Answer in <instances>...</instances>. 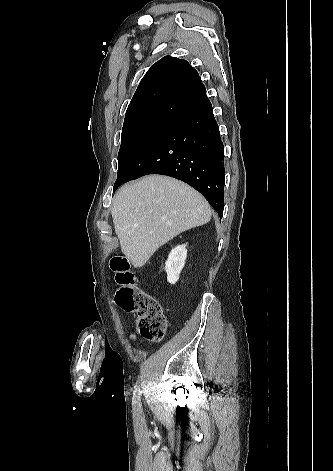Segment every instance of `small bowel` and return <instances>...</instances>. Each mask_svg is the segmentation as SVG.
<instances>
[{
	"label": "small bowel",
	"mask_w": 333,
	"mask_h": 471,
	"mask_svg": "<svg viewBox=\"0 0 333 471\" xmlns=\"http://www.w3.org/2000/svg\"><path fill=\"white\" fill-rule=\"evenodd\" d=\"M130 338L132 341L137 342V337L135 336V334L131 333Z\"/></svg>",
	"instance_id": "small-bowel-1"
}]
</instances>
